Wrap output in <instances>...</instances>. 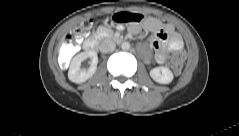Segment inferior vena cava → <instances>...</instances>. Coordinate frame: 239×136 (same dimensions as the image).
<instances>
[{
    "label": "inferior vena cava",
    "instance_id": "1",
    "mask_svg": "<svg viewBox=\"0 0 239 136\" xmlns=\"http://www.w3.org/2000/svg\"><path fill=\"white\" fill-rule=\"evenodd\" d=\"M115 48L116 44L111 39H105L99 45V50L102 53L112 52Z\"/></svg>",
    "mask_w": 239,
    "mask_h": 136
}]
</instances>
